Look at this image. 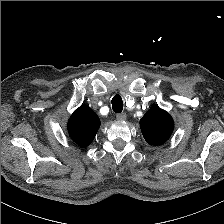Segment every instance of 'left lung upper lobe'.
<instances>
[{
    "label": "left lung upper lobe",
    "mask_w": 224,
    "mask_h": 224,
    "mask_svg": "<svg viewBox=\"0 0 224 224\" xmlns=\"http://www.w3.org/2000/svg\"><path fill=\"white\" fill-rule=\"evenodd\" d=\"M143 137L150 145H161L171 136L174 121L171 115L157 105L152 106L140 120Z\"/></svg>",
    "instance_id": "1"
}]
</instances>
